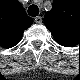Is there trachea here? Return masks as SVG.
Segmentation results:
<instances>
[{
  "mask_svg": "<svg viewBox=\"0 0 80 80\" xmlns=\"http://www.w3.org/2000/svg\"><path fill=\"white\" fill-rule=\"evenodd\" d=\"M28 14L32 17H36L39 14V8L36 5H31L28 8Z\"/></svg>",
  "mask_w": 80,
  "mask_h": 80,
  "instance_id": "3493384b",
  "label": "trachea"
}]
</instances>
